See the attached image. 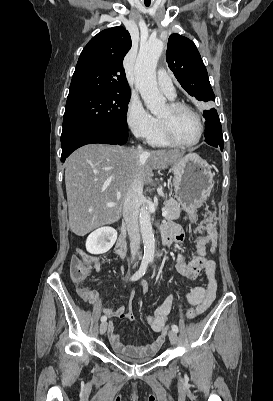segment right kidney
Masks as SVG:
<instances>
[{
	"label": "right kidney",
	"instance_id": "right-kidney-1",
	"mask_svg": "<svg viewBox=\"0 0 273 401\" xmlns=\"http://www.w3.org/2000/svg\"><path fill=\"white\" fill-rule=\"evenodd\" d=\"M117 239V231L112 227H101L93 231L86 241V249L91 255H102L113 247Z\"/></svg>",
	"mask_w": 273,
	"mask_h": 401
}]
</instances>
